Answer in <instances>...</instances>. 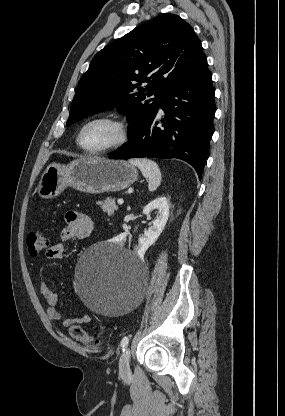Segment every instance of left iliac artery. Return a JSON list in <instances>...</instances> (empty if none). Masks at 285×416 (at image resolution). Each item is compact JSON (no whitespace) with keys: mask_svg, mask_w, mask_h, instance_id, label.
<instances>
[{"mask_svg":"<svg viewBox=\"0 0 285 416\" xmlns=\"http://www.w3.org/2000/svg\"><path fill=\"white\" fill-rule=\"evenodd\" d=\"M128 342H129V338L128 337H124L122 340H121V348H122V350H123V352L125 351V349H126V347H127V345H128Z\"/></svg>","mask_w":285,"mask_h":416,"instance_id":"1","label":"left iliac artery"}]
</instances>
